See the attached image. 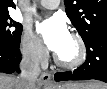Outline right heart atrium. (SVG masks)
<instances>
[{"instance_id":"obj_1","label":"right heart atrium","mask_w":107,"mask_h":89,"mask_svg":"<svg viewBox=\"0 0 107 89\" xmlns=\"http://www.w3.org/2000/svg\"><path fill=\"white\" fill-rule=\"evenodd\" d=\"M20 48L23 57L32 64H42L46 59V51L43 44L30 29L23 31Z\"/></svg>"}]
</instances>
